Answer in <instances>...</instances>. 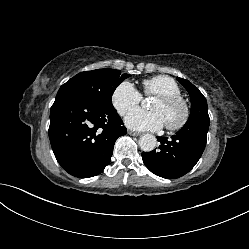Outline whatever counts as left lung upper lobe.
Returning <instances> with one entry per match:
<instances>
[{"instance_id": "obj_1", "label": "left lung upper lobe", "mask_w": 249, "mask_h": 249, "mask_svg": "<svg viewBox=\"0 0 249 249\" xmlns=\"http://www.w3.org/2000/svg\"><path fill=\"white\" fill-rule=\"evenodd\" d=\"M177 80L186 88L191 99V112L187 122L209 118L207 101L198 88L183 78L177 77Z\"/></svg>"}]
</instances>
